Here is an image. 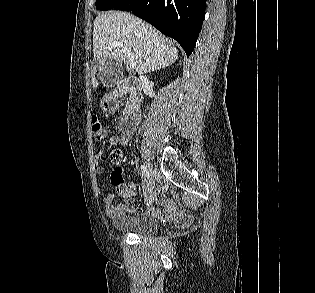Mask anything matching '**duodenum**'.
Masks as SVG:
<instances>
[{
    "instance_id": "410a0bca",
    "label": "duodenum",
    "mask_w": 315,
    "mask_h": 293,
    "mask_svg": "<svg viewBox=\"0 0 315 293\" xmlns=\"http://www.w3.org/2000/svg\"><path fill=\"white\" fill-rule=\"evenodd\" d=\"M132 89V82L130 80L125 81L123 84L117 87L116 92L118 95H123ZM141 120V109L139 105L134 104L129 108L127 113L122 117L120 121V130L125 134L134 132Z\"/></svg>"
}]
</instances>
